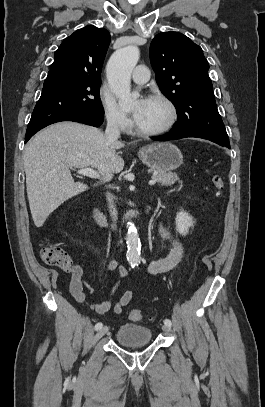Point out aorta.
<instances>
[{
	"label": "aorta",
	"instance_id": "1",
	"mask_svg": "<svg viewBox=\"0 0 265 407\" xmlns=\"http://www.w3.org/2000/svg\"><path fill=\"white\" fill-rule=\"evenodd\" d=\"M140 57L137 46L130 45L113 53L107 66V79L111 90L123 108L131 107L139 97L138 92H131V73ZM127 253L126 258L131 267H135L141 260V242L136 227L132 222L127 223Z\"/></svg>",
	"mask_w": 265,
	"mask_h": 407
}]
</instances>
